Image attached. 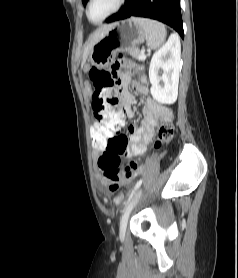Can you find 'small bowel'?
I'll return each instance as SVG.
<instances>
[{
	"label": "small bowel",
	"instance_id": "1",
	"mask_svg": "<svg viewBox=\"0 0 238 278\" xmlns=\"http://www.w3.org/2000/svg\"><path fill=\"white\" fill-rule=\"evenodd\" d=\"M124 59V55H121L120 59H114V64H111L108 71V76H113L112 85H115V89H120V93H117V98H120V102H122V121L120 127L124 123V118L133 117L131 105L134 102V97L128 90V84L130 81L129 77L126 75L119 76V72H122V69H124ZM134 89L138 93L144 95L148 92L143 81H136L134 83ZM170 117L171 115L169 112L158 107L152 99H148L143 108V119L140 124L138 126L130 125L128 127V137L122 133L118 135H109L108 144H126V154H121V157L125 155L130 157L138 156L145 151L147 145L152 139L154 127L160 120H169Z\"/></svg>",
	"mask_w": 238,
	"mask_h": 278
}]
</instances>
